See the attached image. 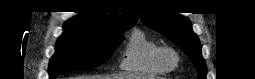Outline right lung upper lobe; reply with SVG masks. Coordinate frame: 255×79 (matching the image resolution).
<instances>
[{"instance_id":"cb5924a9","label":"right lung upper lobe","mask_w":255,"mask_h":79,"mask_svg":"<svg viewBox=\"0 0 255 79\" xmlns=\"http://www.w3.org/2000/svg\"><path fill=\"white\" fill-rule=\"evenodd\" d=\"M79 17L67 21L64 29L103 35H115L121 29L135 25L137 17L133 13H126L118 17L95 15L92 11H82Z\"/></svg>"}]
</instances>
